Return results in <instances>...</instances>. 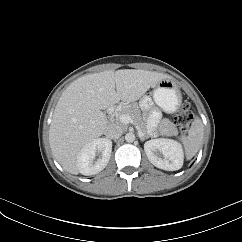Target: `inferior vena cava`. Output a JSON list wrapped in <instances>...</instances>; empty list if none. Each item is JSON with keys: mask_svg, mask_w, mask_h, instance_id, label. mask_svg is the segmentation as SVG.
I'll use <instances>...</instances> for the list:
<instances>
[{"mask_svg": "<svg viewBox=\"0 0 242 242\" xmlns=\"http://www.w3.org/2000/svg\"><path fill=\"white\" fill-rule=\"evenodd\" d=\"M122 133V127L117 124L109 125L105 130V134L109 139H118L122 135Z\"/></svg>", "mask_w": 242, "mask_h": 242, "instance_id": "1", "label": "inferior vena cava"}]
</instances>
